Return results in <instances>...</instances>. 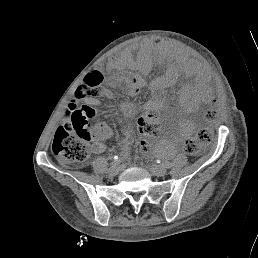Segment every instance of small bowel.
<instances>
[{
    "label": "small bowel",
    "mask_w": 258,
    "mask_h": 258,
    "mask_svg": "<svg viewBox=\"0 0 258 258\" xmlns=\"http://www.w3.org/2000/svg\"><path fill=\"white\" fill-rule=\"evenodd\" d=\"M85 111L89 114L92 115V110L91 108H86ZM98 129V134L95 136V140L97 141L95 143V150L101 151L105 149V144L104 141L108 138V133L105 127H97ZM166 149H170V147H166Z\"/></svg>",
    "instance_id": "obj_1"
}]
</instances>
